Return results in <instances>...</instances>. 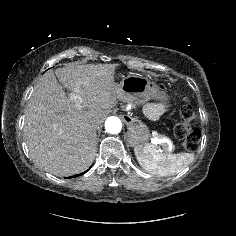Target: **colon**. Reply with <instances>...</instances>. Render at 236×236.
Wrapping results in <instances>:
<instances>
[{
    "mask_svg": "<svg viewBox=\"0 0 236 236\" xmlns=\"http://www.w3.org/2000/svg\"><path fill=\"white\" fill-rule=\"evenodd\" d=\"M196 120L195 110L188 98L180 109V121L174 128L175 136L181 140L188 151H196L201 140V132L194 127Z\"/></svg>",
    "mask_w": 236,
    "mask_h": 236,
    "instance_id": "colon-1",
    "label": "colon"
}]
</instances>
